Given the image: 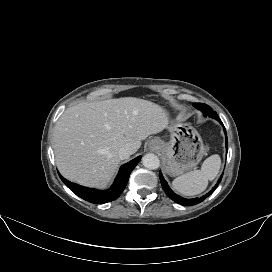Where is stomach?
Returning <instances> with one entry per match:
<instances>
[{
	"instance_id": "stomach-1",
	"label": "stomach",
	"mask_w": 272,
	"mask_h": 272,
	"mask_svg": "<svg viewBox=\"0 0 272 272\" xmlns=\"http://www.w3.org/2000/svg\"><path fill=\"white\" fill-rule=\"evenodd\" d=\"M168 129L169 141L154 138L149 146L162 154L164 171L177 176L196 167L206 149L201 136L191 125L172 121Z\"/></svg>"
}]
</instances>
